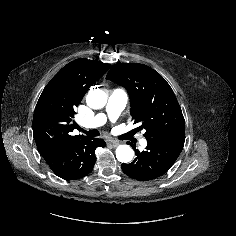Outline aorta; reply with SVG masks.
Masks as SVG:
<instances>
[{
	"mask_svg": "<svg viewBox=\"0 0 236 236\" xmlns=\"http://www.w3.org/2000/svg\"><path fill=\"white\" fill-rule=\"evenodd\" d=\"M87 105L92 109H101L106 105L107 96L100 89L90 90L86 97ZM134 151L129 145H119L116 149V157L121 163H128L133 159Z\"/></svg>",
	"mask_w": 236,
	"mask_h": 236,
	"instance_id": "1",
	"label": "aorta"
}]
</instances>
